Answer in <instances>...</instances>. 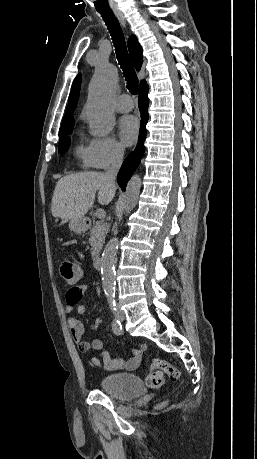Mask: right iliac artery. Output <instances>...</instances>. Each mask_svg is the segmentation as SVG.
I'll list each match as a JSON object with an SVG mask.
<instances>
[{
	"mask_svg": "<svg viewBox=\"0 0 257 459\" xmlns=\"http://www.w3.org/2000/svg\"><path fill=\"white\" fill-rule=\"evenodd\" d=\"M108 302H109L111 310L113 311V313L115 315V318H114V320L112 322V330H113L114 334L122 335V333H123L122 325H121V322L119 321V319L117 318V314H116L117 309H116V302H115L114 296L113 297L110 296L108 298Z\"/></svg>",
	"mask_w": 257,
	"mask_h": 459,
	"instance_id": "82829eb1",
	"label": "right iliac artery"
}]
</instances>
